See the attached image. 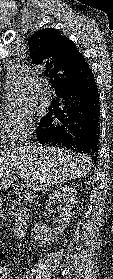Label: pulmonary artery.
Listing matches in <instances>:
<instances>
[{
	"mask_svg": "<svg viewBox=\"0 0 113 279\" xmlns=\"http://www.w3.org/2000/svg\"><path fill=\"white\" fill-rule=\"evenodd\" d=\"M39 94L41 95L42 99L46 103H50L51 102L52 94H51L47 84H44L42 87L39 88Z\"/></svg>",
	"mask_w": 113,
	"mask_h": 279,
	"instance_id": "obj_1",
	"label": "pulmonary artery"
}]
</instances>
